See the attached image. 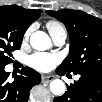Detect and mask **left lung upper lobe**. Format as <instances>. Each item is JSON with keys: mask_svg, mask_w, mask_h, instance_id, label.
Masks as SVG:
<instances>
[{"mask_svg": "<svg viewBox=\"0 0 102 102\" xmlns=\"http://www.w3.org/2000/svg\"><path fill=\"white\" fill-rule=\"evenodd\" d=\"M63 22L70 37L69 55L57 68L62 73H102V20L83 11H47Z\"/></svg>", "mask_w": 102, "mask_h": 102, "instance_id": "obj_1", "label": "left lung upper lobe"}]
</instances>
